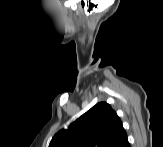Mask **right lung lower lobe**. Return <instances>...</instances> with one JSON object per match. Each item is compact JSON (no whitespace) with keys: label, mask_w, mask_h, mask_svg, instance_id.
I'll return each instance as SVG.
<instances>
[{"label":"right lung lower lobe","mask_w":163,"mask_h":147,"mask_svg":"<svg viewBox=\"0 0 163 147\" xmlns=\"http://www.w3.org/2000/svg\"><path fill=\"white\" fill-rule=\"evenodd\" d=\"M113 147H130L127 135H124L120 140H118Z\"/></svg>","instance_id":"98d812e1"}]
</instances>
